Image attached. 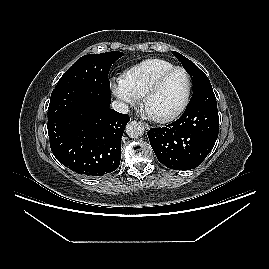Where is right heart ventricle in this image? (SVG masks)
Here are the masks:
<instances>
[{
  "label": "right heart ventricle",
  "instance_id": "e07e8e85",
  "mask_svg": "<svg viewBox=\"0 0 269 269\" xmlns=\"http://www.w3.org/2000/svg\"><path fill=\"white\" fill-rule=\"evenodd\" d=\"M174 66L165 59H146L129 68L124 73L123 79L128 88L140 97L160 74Z\"/></svg>",
  "mask_w": 269,
  "mask_h": 269
}]
</instances>
